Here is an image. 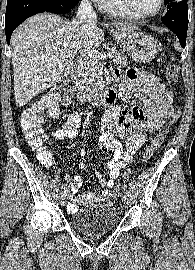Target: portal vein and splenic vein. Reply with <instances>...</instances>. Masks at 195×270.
Listing matches in <instances>:
<instances>
[{"label":"portal vein and splenic vein","mask_w":195,"mask_h":270,"mask_svg":"<svg viewBox=\"0 0 195 270\" xmlns=\"http://www.w3.org/2000/svg\"><path fill=\"white\" fill-rule=\"evenodd\" d=\"M88 56L93 60L102 59V58L106 59V58H113V53L108 52L107 54H100L97 51L91 50L90 52H88Z\"/></svg>","instance_id":"portal-vein-and-splenic-vein-1"}]
</instances>
